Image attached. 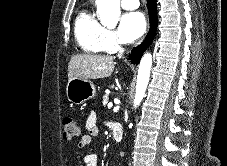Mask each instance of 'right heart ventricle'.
Returning <instances> with one entry per match:
<instances>
[{
  "instance_id": "right-heart-ventricle-1",
  "label": "right heart ventricle",
  "mask_w": 227,
  "mask_h": 166,
  "mask_svg": "<svg viewBox=\"0 0 227 166\" xmlns=\"http://www.w3.org/2000/svg\"><path fill=\"white\" fill-rule=\"evenodd\" d=\"M106 28L89 7L83 8L75 19L74 34L80 49L89 54L105 51Z\"/></svg>"
}]
</instances>
